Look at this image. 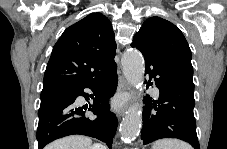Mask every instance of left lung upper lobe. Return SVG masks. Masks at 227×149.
Returning <instances> with one entry per match:
<instances>
[{
    "label": "left lung upper lobe",
    "instance_id": "obj_1",
    "mask_svg": "<svg viewBox=\"0 0 227 149\" xmlns=\"http://www.w3.org/2000/svg\"><path fill=\"white\" fill-rule=\"evenodd\" d=\"M137 37H143L163 64L194 87L191 50L178 27L160 17H151L144 22L133 40Z\"/></svg>",
    "mask_w": 227,
    "mask_h": 149
}]
</instances>
